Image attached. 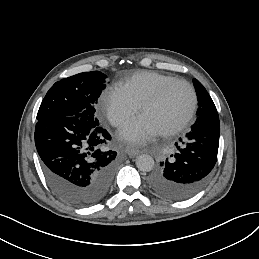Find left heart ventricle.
I'll use <instances>...</instances> for the list:
<instances>
[{
	"instance_id": "obj_1",
	"label": "left heart ventricle",
	"mask_w": 259,
	"mask_h": 259,
	"mask_svg": "<svg viewBox=\"0 0 259 259\" xmlns=\"http://www.w3.org/2000/svg\"><path fill=\"white\" fill-rule=\"evenodd\" d=\"M191 93L186 85H171L162 99L154 106L144 110L139 118L158 133L165 132L176 125L189 110Z\"/></svg>"
}]
</instances>
